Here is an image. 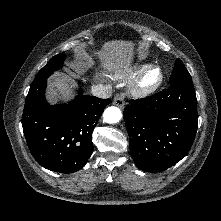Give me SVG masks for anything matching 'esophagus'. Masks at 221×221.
<instances>
[{"label": "esophagus", "mask_w": 221, "mask_h": 221, "mask_svg": "<svg viewBox=\"0 0 221 221\" xmlns=\"http://www.w3.org/2000/svg\"><path fill=\"white\" fill-rule=\"evenodd\" d=\"M113 104L123 108L125 105V101H124V95L123 94H117L113 100Z\"/></svg>", "instance_id": "esophagus-1"}]
</instances>
